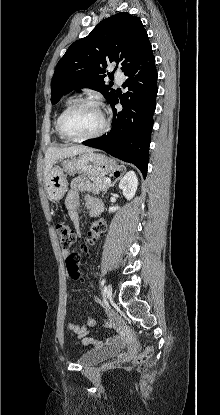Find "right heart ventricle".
Masks as SVG:
<instances>
[{
    "label": "right heart ventricle",
    "instance_id": "e07e8e85",
    "mask_svg": "<svg viewBox=\"0 0 220 415\" xmlns=\"http://www.w3.org/2000/svg\"><path fill=\"white\" fill-rule=\"evenodd\" d=\"M76 101V97L75 96H70V97H68L66 100H65V102L63 103V106H62V108H61V110H60V112H59V114H58V116H57V118H56V120H55V123H54V128H55V132H56V134H57V136L60 138V139H64V138H62L61 136H60V134L58 133V129H57V126H58V121H59V118H60V116H61V114L70 106V105H72L74 102Z\"/></svg>",
    "mask_w": 220,
    "mask_h": 415
}]
</instances>
